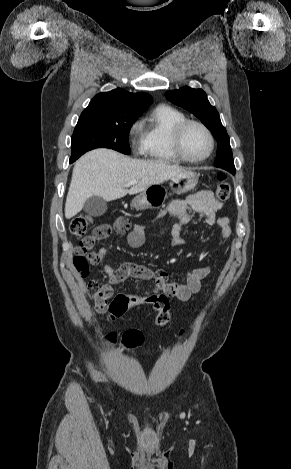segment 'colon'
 <instances>
[{
	"label": "colon",
	"instance_id": "1",
	"mask_svg": "<svg viewBox=\"0 0 291 469\" xmlns=\"http://www.w3.org/2000/svg\"><path fill=\"white\" fill-rule=\"evenodd\" d=\"M231 194V186L227 181V177L224 173L218 174V183L215 189V198L217 201H225ZM91 225V218L86 215H80L72 219L69 229L70 232L78 237H82L77 253L74 257V266L77 271L83 276H87L89 272V264L96 265L98 261L95 258L86 257V252L90 249L93 244L105 237L107 232L103 225L94 228L89 232ZM99 284L96 282H89L87 286L88 293L94 297L99 291ZM170 295L168 293H150L147 299L140 300H129L128 294L114 293L113 299L110 301V307L108 315L111 319L121 320L123 313L129 310V307H140L146 309H155L157 311V317L155 323L158 327H164L168 324L171 318L170 314ZM183 338V334H180ZM108 343H116L117 335L110 333L106 337ZM144 341L143 334L138 330H128L123 333L121 337L122 345L127 349H135L142 345Z\"/></svg>",
	"mask_w": 291,
	"mask_h": 469
}]
</instances>
